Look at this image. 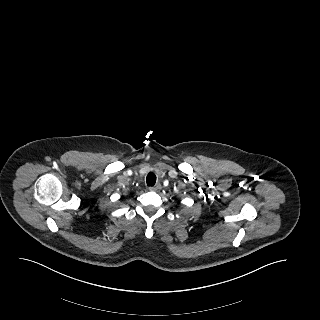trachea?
<instances>
[{"label": "trachea", "instance_id": "3493384b", "mask_svg": "<svg viewBox=\"0 0 320 320\" xmlns=\"http://www.w3.org/2000/svg\"><path fill=\"white\" fill-rule=\"evenodd\" d=\"M147 186H154L156 183V175L154 173H149L146 177Z\"/></svg>", "mask_w": 320, "mask_h": 320}]
</instances>
